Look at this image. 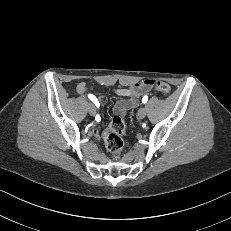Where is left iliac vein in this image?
Listing matches in <instances>:
<instances>
[{
  "instance_id": "obj_1",
  "label": "left iliac vein",
  "mask_w": 231,
  "mask_h": 231,
  "mask_svg": "<svg viewBox=\"0 0 231 231\" xmlns=\"http://www.w3.org/2000/svg\"><path fill=\"white\" fill-rule=\"evenodd\" d=\"M146 116V110L144 108H140L137 113V117L139 119H143Z\"/></svg>"
}]
</instances>
